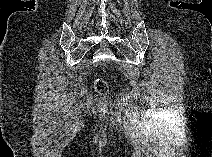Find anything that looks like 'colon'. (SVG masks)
I'll return each mask as SVG.
<instances>
[{"label": "colon", "instance_id": "obj_1", "mask_svg": "<svg viewBox=\"0 0 212 157\" xmlns=\"http://www.w3.org/2000/svg\"><path fill=\"white\" fill-rule=\"evenodd\" d=\"M106 87H107V86H106V83H105L104 81L98 80V81L96 82V88H97V90L103 92V91L106 90Z\"/></svg>", "mask_w": 212, "mask_h": 157}]
</instances>
